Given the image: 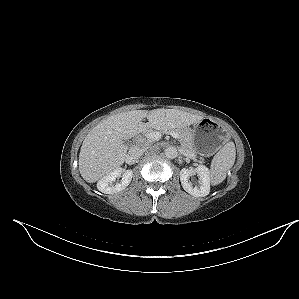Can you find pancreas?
<instances>
[{
    "instance_id": "pancreas-1",
    "label": "pancreas",
    "mask_w": 299,
    "mask_h": 299,
    "mask_svg": "<svg viewBox=\"0 0 299 299\" xmlns=\"http://www.w3.org/2000/svg\"><path fill=\"white\" fill-rule=\"evenodd\" d=\"M171 131H174L178 133L179 139L181 141V144L192 154H195L192 142H191V132L188 128L185 129H161L162 133H170ZM204 159L201 158V161Z\"/></svg>"
}]
</instances>
